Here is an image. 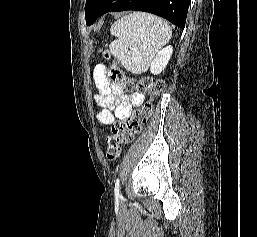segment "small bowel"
I'll use <instances>...</instances> for the list:
<instances>
[{"instance_id":"1","label":"small bowel","mask_w":257,"mask_h":237,"mask_svg":"<svg viewBox=\"0 0 257 237\" xmlns=\"http://www.w3.org/2000/svg\"><path fill=\"white\" fill-rule=\"evenodd\" d=\"M93 76L99 91L95 100L103 107V110L98 114V119L103 125H112L116 120L128 118L133 107L139 106L144 100L143 94L127 95L122 86L112 84L103 64L95 66Z\"/></svg>"}]
</instances>
